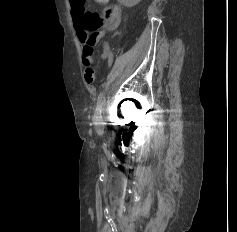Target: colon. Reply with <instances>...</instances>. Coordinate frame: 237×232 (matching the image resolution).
Returning a JSON list of instances; mask_svg holds the SVG:
<instances>
[{
  "label": "colon",
  "mask_w": 237,
  "mask_h": 232,
  "mask_svg": "<svg viewBox=\"0 0 237 232\" xmlns=\"http://www.w3.org/2000/svg\"><path fill=\"white\" fill-rule=\"evenodd\" d=\"M85 2L86 0H71L72 14L80 38L94 44L99 38L98 29L103 20L113 18L116 12L112 7H106L102 16H99L88 11Z\"/></svg>",
  "instance_id": "colon-1"
}]
</instances>
